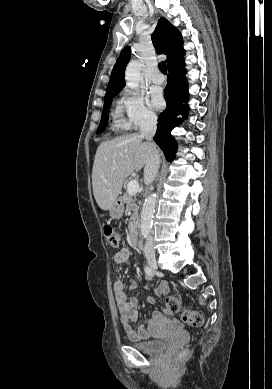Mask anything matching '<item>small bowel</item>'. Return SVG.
I'll list each match as a JSON object with an SVG mask.
<instances>
[{
  "mask_svg": "<svg viewBox=\"0 0 272 389\" xmlns=\"http://www.w3.org/2000/svg\"><path fill=\"white\" fill-rule=\"evenodd\" d=\"M129 256L130 251L127 248H121L114 254L113 259L116 263H123L129 258ZM130 288H137V283L135 281H131ZM113 291L120 314V321L128 338L133 341L151 338L153 336V332L150 325H152L156 320H158L161 317V314L159 312H154L152 319L149 322V326H145L142 324L137 329H135L133 327V323L138 319V306L141 303L140 299L136 297L128 299L125 293L124 283L121 280H117L114 282ZM168 292V284L164 282L160 283L155 290L154 296L149 297L147 299V302L152 303L154 302L156 297L166 295L168 294Z\"/></svg>",
  "mask_w": 272,
  "mask_h": 389,
  "instance_id": "1",
  "label": "small bowel"
}]
</instances>
